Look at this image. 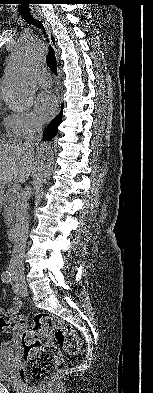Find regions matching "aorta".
I'll use <instances>...</instances> for the list:
<instances>
[{"label": "aorta", "instance_id": "obj_1", "mask_svg": "<svg viewBox=\"0 0 153 393\" xmlns=\"http://www.w3.org/2000/svg\"><path fill=\"white\" fill-rule=\"evenodd\" d=\"M43 44L31 36L21 40L8 56L6 74L0 93L7 107L14 112L30 109L35 95L34 73L43 56ZM37 179L48 183L54 163L53 148L49 143L41 144L35 154Z\"/></svg>", "mask_w": 153, "mask_h": 393}]
</instances>
